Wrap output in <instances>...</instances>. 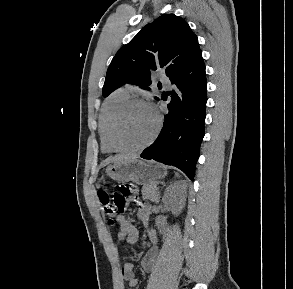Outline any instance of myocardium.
Returning <instances> with one entry per match:
<instances>
[{"label": "myocardium", "mask_w": 293, "mask_h": 289, "mask_svg": "<svg viewBox=\"0 0 293 289\" xmlns=\"http://www.w3.org/2000/svg\"><path fill=\"white\" fill-rule=\"evenodd\" d=\"M137 104L146 105L152 109V111L154 112L155 117H156V126H155L153 133L151 134V136L149 137V139L146 142H144L138 146H133V147L125 146V145H122L118 141L117 136H116L118 122L120 121V119L123 117V115L126 113V111L130 107L137 105ZM161 128H162V117H161L160 113L147 101L140 99V98H131V99H128L116 111L113 118L111 119L109 131H108V135H107V140H108V143H109L111 149L114 152H137V151H141V150L147 148L148 146H150L155 141L157 136L159 135Z\"/></svg>", "instance_id": "f54148a6"}]
</instances>
